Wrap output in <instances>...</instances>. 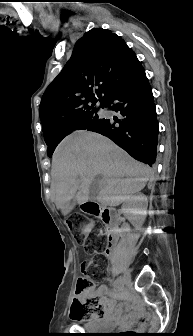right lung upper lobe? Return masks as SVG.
<instances>
[{
  "label": "right lung upper lobe",
  "mask_w": 193,
  "mask_h": 336,
  "mask_svg": "<svg viewBox=\"0 0 193 336\" xmlns=\"http://www.w3.org/2000/svg\"><path fill=\"white\" fill-rule=\"evenodd\" d=\"M137 62L125 41L110 30L86 32L76 42L71 60L43 94L39 114L45 141L66 133L77 120L91 113L97 98L103 108L116 85Z\"/></svg>",
  "instance_id": "cb5924a9"
}]
</instances>
